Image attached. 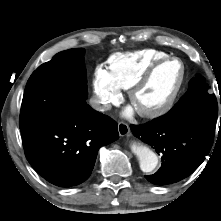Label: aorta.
I'll return each instance as SVG.
<instances>
[{
    "label": "aorta",
    "instance_id": "obj_1",
    "mask_svg": "<svg viewBox=\"0 0 221 221\" xmlns=\"http://www.w3.org/2000/svg\"><path fill=\"white\" fill-rule=\"evenodd\" d=\"M131 150L137 156L140 169L143 172H152L156 168L158 158L156 154L148 147L139 143H133L131 145Z\"/></svg>",
    "mask_w": 221,
    "mask_h": 221
}]
</instances>
